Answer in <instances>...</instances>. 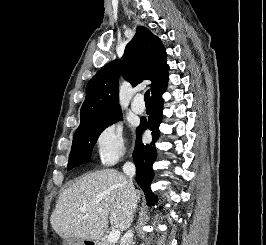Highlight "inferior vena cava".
Returning a JSON list of instances; mask_svg holds the SVG:
<instances>
[{"label": "inferior vena cava", "mask_w": 266, "mask_h": 245, "mask_svg": "<svg viewBox=\"0 0 266 245\" xmlns=\"http://www.w3.org/2000/svg\"><path fill=\"white\" fill-rule=\"evenodd\" d=\"M123 173H125L127 179H128V185H129V195L133 201L132 203V207L134 209V211H136L137 209V193L135 191V187L133 185V177L136 173V167L134 165V163H125V165H123ZM121 245H133V231H127V233H125L122 241H121Z\"/></svg>", "instance_id": "obj_1"}]
</instances>
